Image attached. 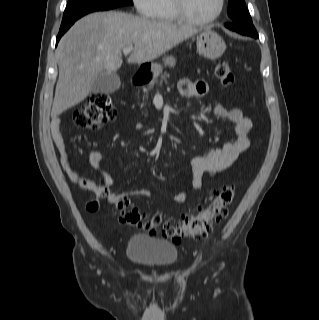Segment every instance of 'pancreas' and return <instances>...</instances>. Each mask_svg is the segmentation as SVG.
<instances>
[{
	"label": "pancreas",
	"mask_w": 319,
	"mask_h": 320,
	"mask_svg": "<svg viewBox=\"0 0 319 320\" xmlns=\"http://www.w3.org/2000/svg\"><path fill=\"white\" fill-rule=\"evenodd\" d=\"M169 77V74H167V72H165L162 76H161V82L165 81L166 78ZM158 83V81L156 79L152 80L150 83H148V85L143 89L144 93H145V98L148 99L149 97V92L153 90L154 86Z\"/></svg>",
	"instance_id": "cf45deb5"
}]
</instances>
